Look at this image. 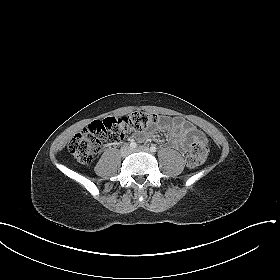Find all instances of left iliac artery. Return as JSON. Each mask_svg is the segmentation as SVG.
Returning a JSON list of instances; mask_svg holds the SVG:
<instances>
[{"label":"left iliac artery","mask_w":280,"mask_h":280,"mask_svg":"<svg viewBox=\"0 0 280 280\" xmlns=\"http://www.w3.org/2000/svg\"><path fill=\"white\" fill-rule=\"evenodd\" d=\"M156 150H157V148H156L155 146H151V147H150V151H151V152H156Z\"/></svg>","instance_id":"left-iliac-artery-1"}]
</instances>
